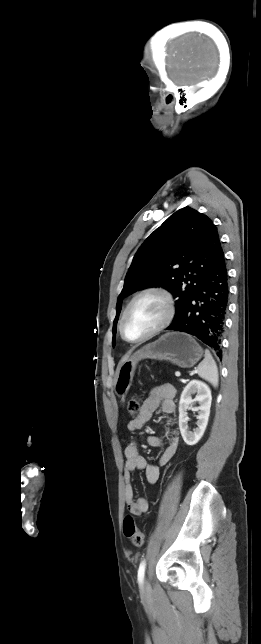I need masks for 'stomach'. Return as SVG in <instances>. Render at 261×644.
<instances>
[{
	"mask_svg": "<svg viewBox=\"0 0 261 644\" xmlns=\"http://www.w3.org/2000/svg\"><path fill=\"white\" fill-rule=\"evenodd\" d=\"M202 356L203 349L191 336L179 332L166 333L122 359L117 371L115 392L121 397L127 394L136 366L143 359L165 360L180 368H191Z\"/></svg>",
	"mask_w": 261,
	"mask_h": 644,
	"instance_id": "obj_1",
	"label": "stomach"
}]
</instances>
